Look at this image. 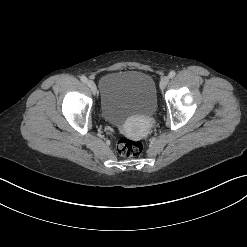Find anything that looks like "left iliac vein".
Returning a JSON list of instances; mask_svg holds the SVG:
<instances>
[{"instance_id":"obj_1","label":"left iliac vein","mask_w":247,"mask_h":247,"mask_svg":"<svg viewBox=\"0 0 247 247\" xmlns=\"http://www.w3.org/2000/svg\"><path fill=\"white\" fill-rule=\"evenodd\" d=\"M168 82H169V76L162 77L160 81V88L164 89L167 86Z\"/></svg>"}]
</instances>
